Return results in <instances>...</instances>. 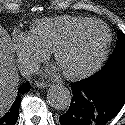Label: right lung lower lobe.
<instances>
[{"label": "right lung lower lobe", "mask_w": 125, "mask_h": 125, "mask_svg": "<svg viewBox=\"0 0 125 125\" xmlns=\"http://www.w3.org/2000/svg\"><path fill=\"white\" fill-rule=\"evenodd\" d=\"M30 90L29 82H26L18 88V97L10 107V109L0 116V125H15L19 116V104H20V95L28 92Z\"/></svg>", "instance_id": "98d812e1"}]
</instances>
